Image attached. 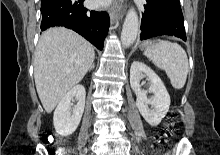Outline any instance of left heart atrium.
I'll list each match as a JSON object with an SVG mask.
<instances>
[{"mask_svg":"<svg viewBox=\"0 0 220 155\" xmlns=\"http://www.w3.org/2000/svg\"><path fill=\"white\" fill-rule=\"evenodd\" d=\"M111 2V0H95L97 6H106Z\"/></svg>","mask_w":220,"mask_h":155,"instance_id":"39dd6f15","label":"left heart atrium"}]
</instances>
